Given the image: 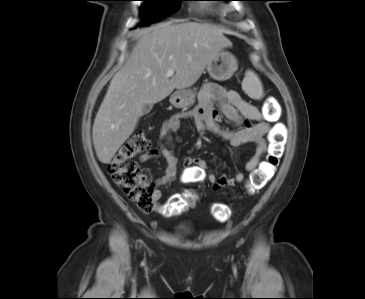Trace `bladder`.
<instances>
[{"label":"bladder","mask_w":365,"mask_h":299,"mask_svg":"<svg viewBox=\"0 0 365 299\" xmlns=\"http://www.w3.org/2000/svg\"><path fill=\"white\" fill-rule=\"evenodd\" d=\"M178 230L180 232H186V231L190 230V226L188 224H182L178 227Z\"/></svg>","instance_id":"obj_1"}]
</instances>
